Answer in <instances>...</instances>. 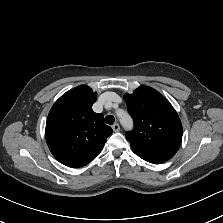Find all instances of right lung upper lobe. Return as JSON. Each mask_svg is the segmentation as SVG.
Returning <instances> with one entry per match:
<instances>
[{"label": "right lung upper lobe", "instance_id": "obj_1", "mask_svg": "<svg viewBox=\"0 0 223 223\" xmlns=\"http://www.w3.org/2000/svg\"><path fill=\"white\" fill-rule=\"evenodd\" d=\"M97 94L85 85L63 94L51 108L46 122V141L51 153L62 164L81 167L103 149L112 129L95 113Z\"/></svg>", "mask_w": 223, "mask_h": 223}]
</instances>
